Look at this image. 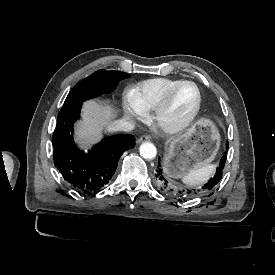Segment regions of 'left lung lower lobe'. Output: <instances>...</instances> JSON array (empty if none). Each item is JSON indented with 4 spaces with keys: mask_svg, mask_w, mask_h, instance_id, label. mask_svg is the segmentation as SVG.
I'll return each mask as SVG.
<instances>
[{
    "mask_svg": "<svg viewBox=\"0 0 275 275\" xmlns=\"http://www.w3.org/2000/svg\"><path fill=\"white\" fill-rule=\"evenodd\" d=\"M227 149H228V145H227ZM226 157H227V155H224L222 157L220 165H219V167H217L214 176L198 190H194V189H193V191L176 190L172 186V184L169 183L168 180L163 175L161 164L159 161H158L157 169L155 171L156 183H157L158 187L166 194H178L179 193L182 195L194 196V195L203 194V193H210L222 178V173H223L222 170L224 168ZM211 194H213V193H211Z\"/></svg>",
    "mask_w": 275,
    "mask_h": 275,
    "instance_id": "obj_1",
    "label": "left lung lower lobe"
}]
</instances>
